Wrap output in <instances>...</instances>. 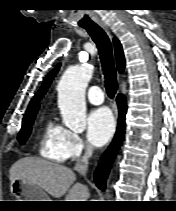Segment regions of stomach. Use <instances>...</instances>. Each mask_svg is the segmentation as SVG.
<instances>
[{"mask_svg": "<svg viewBox=\"0 0 176 211\" xmlns=\"http://www.w3.org/2000/svg\"><path fill=\"white\" fill-rule=\"evenodd\" d=\"M10 192L20 199L19 201H50L48 195L41 188L22 179L10 182Z\"/></svg>", "mask_w": 176, "mask_h": 211, "instance_id": "1", "label": "stomach"}]
</instances>
